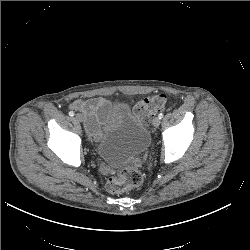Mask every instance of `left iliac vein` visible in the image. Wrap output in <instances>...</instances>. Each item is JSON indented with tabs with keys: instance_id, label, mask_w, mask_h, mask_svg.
<instances>
[{
	"instance_id": "left-iliac-vein-1",
	"label": "left iliac vein",
	"mask_w": 250,
	"mask_h": 250,
	"mask_svg": "<svg viewBox=\"0 0 250 250\" xmlns=\"http://www.w3.org/2000/svg\"><path fill=\"white\" fill-rule=\"evenodd\" d=\"M161 123V120L159 117H155L152 121L153 126L158 127Z\"/></svg>"
}]
</instances>
